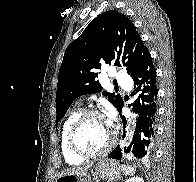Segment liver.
<instances>
[{
  "label": "liver",
  "instance_id": "liver-1",
  "mask_svg": "<svg viewBox=\"0 0 196 182\" xmlns=\"http://www.w3.org/2000/svg\"><path fill=\"white\" fill-rule=\"evenodd\" d=\"M92 165L82 166V167H73L71 169H68L65 174H82L85 173Z\"/></svg>",
  "mask_w": 196,
  "mask_h": 182
}]
</instances>
